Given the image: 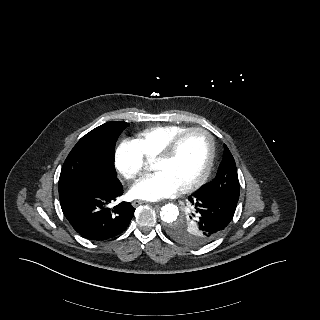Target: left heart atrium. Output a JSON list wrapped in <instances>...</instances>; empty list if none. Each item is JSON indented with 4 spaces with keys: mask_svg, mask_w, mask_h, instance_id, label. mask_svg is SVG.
<instances>
[{
    "mask_svg": "<svg viewBox=\"0 0 320 320\" xmlns=\"http://www.w3.org/2000/svg\"><path fill=\"white\" fill-rule=\"evenodd\" d=\"M179 190V186L169 176L156 172L135 182L130 188V195L136 199L156 201L173 196Z\"/></svg>",
    "mask_w": 320,
    "mask_h": 320,
    "instance_id": "1",
    "label": "left heart atrium"
}]
</instances>
